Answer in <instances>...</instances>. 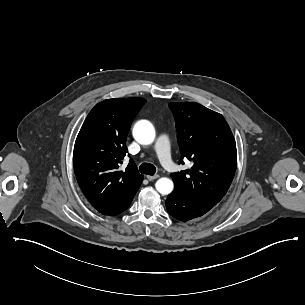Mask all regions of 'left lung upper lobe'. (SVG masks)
<instances>
[{"label": "left lung upper lobe", "mask_w": 305, "mask_h": 305, "mask_svg": "<svg viewBox=\"0 0 305 305\" xmlns=\"http://www.w3.org/2000/svg\"><path fill=\"white\" fill-rule=\"evenodd\" d=\"M183 159L189 170L172 173L175 189L205 202H219L228 191L237 166L236 143L224 117L196 102L170 103Z\"/></svg>", "instance_id": "obj_1"}]
</instances>
